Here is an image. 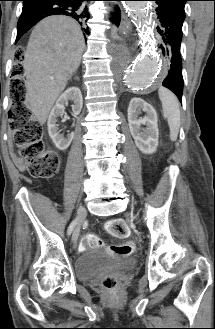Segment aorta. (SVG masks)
Wrapping results in <instances>:
<instances>
[{
  "instance_id": "762f6f07",
  "label": "aorta",
  "mask_w": 215,
  "mask_h": 329,
  "mask_svg": "<svg viewBox=\"0 0 215 329\" xmlns=\"http://www.w3.org/2000/svg\"><path fill=\"white\" fill-rule=\"evenodd\" d=\"M124 6L142 31L147 33L151 24L146 3L143 1H126ZM122 66L125 70V80L131 90L145 91L161 76L159 57L151 50L144 51L133 63L131 60H125Z\"/></svg>"
}]
</instances>
